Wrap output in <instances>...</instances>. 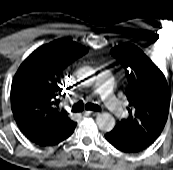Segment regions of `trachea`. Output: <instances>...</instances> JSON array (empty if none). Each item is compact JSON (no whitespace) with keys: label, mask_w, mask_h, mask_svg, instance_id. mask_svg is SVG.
<instances>
[{"label":"trachea","mask_w":173,"mask_h":170,"mask_svg":"<svg viewBox=\"0 0 173 170\" xmlns=\"http://www.w3.org/2000/svg\"><path fill=\"white\" fill-rule=\"evenodd\" d=\"M83 107H84L83 101H79L78 103L73 105L72 112H81L83 110ZM85 109L86 110H92V111H100L101 107L99 105H96V104L87 103L85 105Z\"/></svg>","instance_id":"1"}]
</instances>
